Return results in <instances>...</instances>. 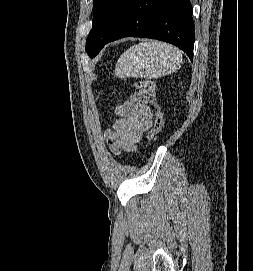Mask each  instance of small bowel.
<instances>
[{"mask_svg":"<svg viewBox=\"0 0 253 271\" xmlns=\"http://www.w3.org/2000/svg\"><path fill=\"white\" fill-rule=\"evenodd\" d=\"M149 95L137 92L115 109L117 115L105 139L116 155L121 151L133 152L145 132L152 127V112L146 105Z\"/></svg>","mask_w":253,"mask_h":271,"instance_id":"1","label":"small bowel"}]
</instances>
